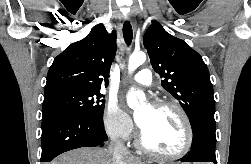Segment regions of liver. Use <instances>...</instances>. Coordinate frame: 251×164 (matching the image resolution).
Returning <instances> with one entry per match:
<instances>
[{"instance_id":"1","label":"liver","mask_w":251,"mask_h":164,"mask_svg":"<svg viewBox=\"0 0 251 164\" xmlns=\"http://www.w3.org/2000/svg\"><path fill=\"white\" fill-rule=\"evenodd\" d=\"M50 164H116L111 149L84 147L57 157ZM119 164H144L139 158L127 155Z\"/></svg>"}]
</instances>
